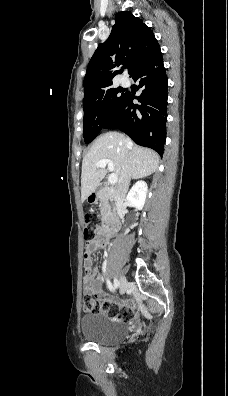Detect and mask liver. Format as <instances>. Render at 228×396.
<instances>
[{"instance_id":"1","label":"liver","mask_w":228,"mask_h":396,"mask_svg":"<svg viewBox=\"0 0 228 396\" xmlns=\"http://www.w3.org/2000/svg\"><path fill=\"white\" fill-rule=\"evenodd\" d=\"M103 159L113 162V171L118 178L121 177L127 161L130 178L139 179L147 177L157 170L160 157L155 151L134 144L121 133L108 132L99 136L82 161V202L95 192L107 173L105 167H97V162Z\"/></svg>"}]
</instances>
